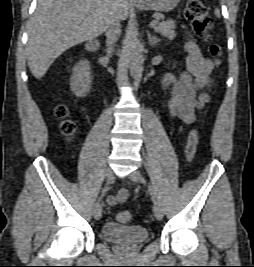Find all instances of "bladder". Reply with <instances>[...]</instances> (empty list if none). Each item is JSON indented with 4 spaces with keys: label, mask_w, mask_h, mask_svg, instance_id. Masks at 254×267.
<instances>
[{
    "label": "bladder",
    "mask_w": 254,
    "mask_h": 267,
    "mask_svg": "<svg viewBox=\"0 0 254 267\" xmlns=\"http://www.w3.org/2000/svg\"><path fill=\"white\" fill-rule=\"evenodd\" d=\"M103 237L122 247H136L144 243L148 232L143 227L123 226L114 222H108L102 227Z\"/></svg>",
    "instance_id": "1"
}]
</instances>
